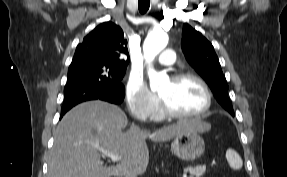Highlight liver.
<instances>
[{
    "mask_svg": "<svg viewBox=\"0 0 287 177\" xmlns=\"http://www.w3.org/2000/svg\"><path fill=\"white\" fill-rule=\"evenodd\" d=\"M117 106L103 101H89L71 109L54 132L47 177H122L128 169L143 174L149 163L145 140L168 141L175 136L196 130L205 132L211 125L201 120H184L152 133L132 126ZM99 148L118 154L121 159L107 167Z\"/></svg>",
    "mask_w": 287,
    "mask_h": 177,
    "instance_id": "obj_1",
    "label": "liver"
}]
</instances>
